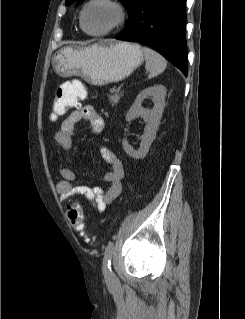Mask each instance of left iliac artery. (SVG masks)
Segmentation results:
<instances>
[{
  "mask_svg": "<svg viewBox=\"0 0 245 319\" xmlns=\"http://www.w3.org/2000/svg\"><path fill=\"white\" fill-rule=\"evenodd\" d=\"M113 250H114V243L110 241L105 249V254L103 259V274L108 279L115 278L111 269V259L113 255Z\"/></svg>",
  "mask_w": 245,
  "mask_h": 319,
  "instance_id": "left-iliac-artery-1",
  "label": "left iliac artery"
}]
</instances>
